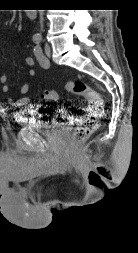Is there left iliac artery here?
<instances>
[{
	"instance_id": "left-iliac-artery-1",
	"label": "left iliac artery",
	"mask_w": 138,
	"mask_h": 253,
	"mask_svg": "<svg viewBox=\"0 0 138 253\" xmlns=\"http://www.w3.org/2000/svg\"><path fill=\"white\" fill-rule=\"evenodd\" d=\"M34 54L38 60V62L40 63V65L44 68H46L49 64L48 60L46 59V57L44 56L42 49L39 45H37L34 48Z\"/></svg>"
}]
</instances>
